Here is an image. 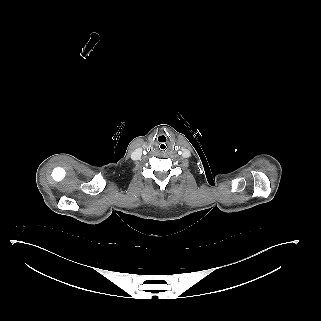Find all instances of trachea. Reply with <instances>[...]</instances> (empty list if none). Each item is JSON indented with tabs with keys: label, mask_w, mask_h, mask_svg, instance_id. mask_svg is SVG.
I'll use <instances>...</instances> for the list:
<instances>
[{
	"label": "trachea",
	"mask_w": 321,
	"mask_h": 321,
	"mask_svg": "<svg viewBox=\"0 0 321 321\" xmlns=\"http://www.w3.org/2000/svg\"><path fill=\"white\" fill-rule=\"evenodd\" d=\"M158 152L159 153H162V154H164V153H167L168 152V145L167 144H164V143H162V144H159L158 145Z\"/></svg>",
	"instance_id": "obj_1"
}]
</instances>
